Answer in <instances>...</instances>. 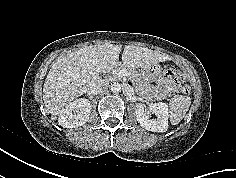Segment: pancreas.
<instances>
[{
  "label": "pancreas",
  "mask_w": 236,
  "mask_h": 178,
  "mask_svg": "<svg viewBox=\"0 0 236 178\" xmlns=\"http://www.w3.org/2000/svg\"><path fill=\"white\" fill-rule=\"evenodd\" d=\"M121 70H125L128 73V77L133 82L135 86V90L138 94L148 99H153V98L160 99L163 97V95L158 93V91L153 92L151 86L142 80L141 76L135 69L119 68L115 70L114 72V75H113L114 79H119L117 74Z\"/></svg>",
  "instance_id": "obj_1"
}]
</instances>
